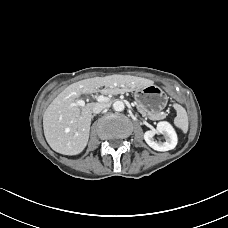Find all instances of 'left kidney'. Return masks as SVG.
<instances>
[{
	"label": "left kidney",
	"instance_id": "left-kidney-1",
	"mask_svg": "<svg viewBox=\"0 0 228 228\" xmlns=\"http://www.w3.org/2000/svg\"><path fill=\"white\" fill-rule=\"evenodd\" d=\"M156 133L162 134L165 137V142H157L154 140ZM146 143L157 151H168L176 147L178 139L177 134L172 125L166 121H161L157 124L156 130L146 131L144 133Z\"/></svg>",
	"mask_w": 228,
	"mask_h": 228
}]
</instances>
